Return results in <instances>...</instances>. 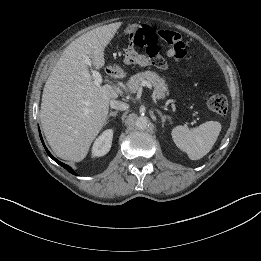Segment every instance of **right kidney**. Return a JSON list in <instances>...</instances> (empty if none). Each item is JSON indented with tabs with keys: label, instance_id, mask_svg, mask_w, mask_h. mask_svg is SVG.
Returning a JSON list of instances; mask_svg holds the SVG:
<instances>
[{
	"label": "right kidney",
	"instance_id": "right-kidney-1",
	"mask_svg": "<svg viewBox=\"0 0 261 261\" xmlns=\"http://www.w3.org/2000/svg\"><path fill=\"white\" fill-rule=\"evenodd\" d=\"M113 130H105L94 142L92 147V157H100L107 154L111 148Z\"/></svg>",
	"mask_w": 261,
	"mask_h": 261
}]
</instances>
